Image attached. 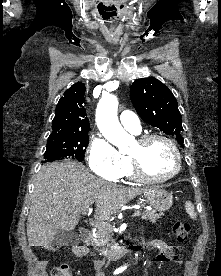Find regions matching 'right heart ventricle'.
I'll list each match as a JSON object with an SVG mask.
<instances>
[{"instance_id":"obj_1","label":"right heart ventricle","mask_w":221,"mask_h":276,"mask_svg":"<svg viewBox=\"0 0 221 276\" xmlns=\"http://www.w3.org/2000/svg\"><path fill=\"white\" fill-rule=\"evenodd\" d=\"M125 158H126V163H125V168H124L122 176H126V177H129V178H134L135 175L133 173L131 161L128 157H125Z\"/></svg>"}]
</instances>
